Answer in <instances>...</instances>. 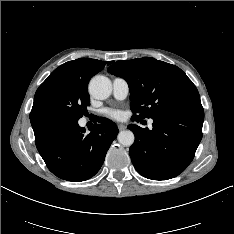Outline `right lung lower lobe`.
<instances>
[{
	"instance_id": "right-lung-lower-lobe-1",
	"label": "right lung lower lobe",
	"mask_w": 234,
	"mask_h": 234,
	"mask_svg": "<svg viewBox=\"0 0 234 234\" xmlns=\"http://www.w3.org/2000/svg\"><path fill=\"white\" fill-rule=\"evenodd\" d=\"M38 152L57 177L79 182L94 176L118 134L117 126L106 118L98 119L89 134L78 120L64 115L30 117Z\"/></svg>"
}]
</instances>
